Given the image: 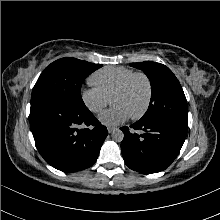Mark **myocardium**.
I'll use <instances>...</instances> for the list:
<instances>
[{"label": "myocardium", "mask_w": 220, "mask_h": 220, "mask_svg": "<svg viewBox=\"0 0 220 220\" xmlns=\"http://www.w3.org/2000/svg\"><path fill=\"white\" fill-rule=\"evenodd\" d=\"M142 78L147 86V97H146V101L145 104L143 106V108L136 114L131 115V118L134 120L140 119L142 118L146 112L148 111L151 101H152V94H153V87H152V82L151 79L149 78V76L147 74H145L144 72H134L133 74H131L129 77H127L112 93L111 98L115 95L121 94L124 91H126L128 89V87L131 85V83L134 81V79L136 78Z\"/></svg>", "instance_id": "f54148a6"}]
</instances>
